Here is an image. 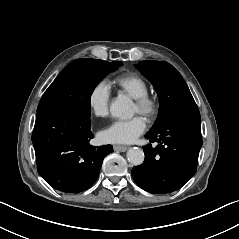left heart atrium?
Instances as JSON below:
<instances>
[{
	"label": "left heart atrium",
	"mask_w": 239,
	"mask_h": 239,
	"mask_svg": "<svg viewBox=\"0 0 239 239\" xmlns=\"http://www.w3.org/2000/svg\"><path fill=\"white\" fill-rule=\"evenodd\" d=\"M146 119L137 114L130 119H117L101 131L100 137L106 143H132L146 129Z\"/></svg>",
	"instance_id": "1"
}]
</instances>
